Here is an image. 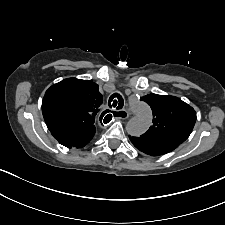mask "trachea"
I'll return each instance as SVG.
<instances>
[{"label": "trachea", "instance_id": "obj_1", "mask_svg": "<svg viewBox=\"0 0 225 225\" xmlns=\"http://www.w3.org/2000/svg\"><path fill=\"white\" fill-rule=\"evenodd\" d=\"M108 105L110 108L113 107V108L120 110V109H122V107L124 105V100L120 94L115 93L110 96ZM107 116L112 117L111 115H107ZM114 116H116V112H114Z\"/></svg>", "mask_w": 225, "mask_h": 225}]
</instances>
